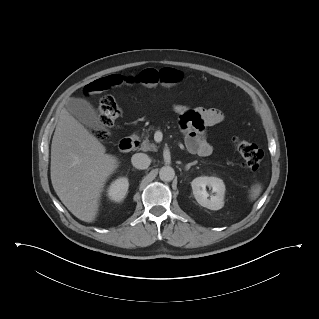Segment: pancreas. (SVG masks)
Listing matches in <instances>:
<instances>
[{"mask_svg": "<svg viewBox=\"0 0 319 319\" xmlns=\"http://www.w3.org/2000/svg\"><path fill=\"white\" fill-rule=\"evenodd\" d=\"M151 128L145 131V133L142 134V137H144L143 142L141 143V150L142 151H157V146L154 143H151L149 140L150 131Z\"/></svg>", "mask_w": 319, "mask_h": 319, "instance_id": "cf45deb5", "label": "pancreas"}]
</instances>
